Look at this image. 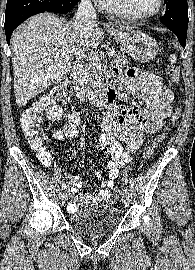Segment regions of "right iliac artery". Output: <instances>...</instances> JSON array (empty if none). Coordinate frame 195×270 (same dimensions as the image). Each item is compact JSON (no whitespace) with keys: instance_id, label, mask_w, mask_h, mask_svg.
Segmentation results:
<instances>
[{"instance_id":"right-iliac-artery-1","label":"right iliac artery","mask_w":195,"mask_h":270,"mask_svg":"<svg viewBox=\"0 0 195 270\" xmlns=\"http://www.w3.org/2000/svg\"><path fill=\"white\" fill-rule=\"evenodd\" d=\"M65 188H66L65 184H63V185H62V189L65 190Z\"/></svg>"}]
</instances>
